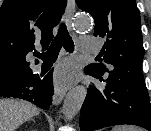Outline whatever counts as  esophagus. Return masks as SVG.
<instances>
[{
	"label": "esophagus",
	"mask_w": 151,
	"mask_h": 131,
	"mask_svg": "<svg viewBox=\"0 0 151 131\" xmlns=\"http://www.w3.org/2000/svg\"><path fill=\"white\" fill-rule=\"evenodd\" d=\"M74 13H75V0H68L66 22H67L69 30H72L71 21L74 16ZM65 93H66L65 90L56 88L53 95V104L55 105L60 104L65 96Z\"/></svg>",
	"instance_id": "obj_1"
}]
</instances>
